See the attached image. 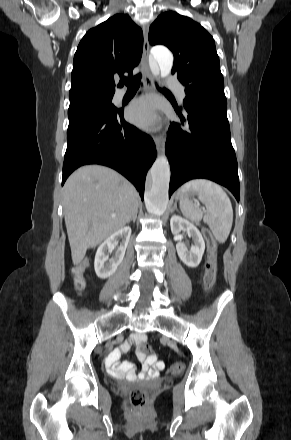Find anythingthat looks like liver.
<instances>
[{
  "mask_svg": "<svg viewBox=\"0 0 291 440\" xmlns=\"http://www.w3.org/2000/svg\"><path fill=\"white\" fill-rule=\"evenodd\" d=\"M135 187L116 171L86 165L63 187V208L72 261L79 264L94 248L129 223L138 212Z\"/></svg>",
  "mask_w": 291,
  "mask_h": 440,
  "instance_id": "1",
  "label": "liver"
}]
</instances>
